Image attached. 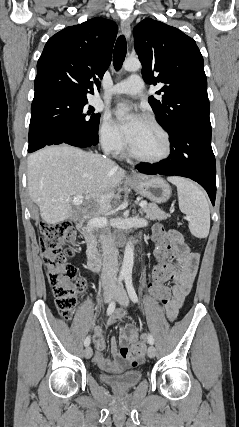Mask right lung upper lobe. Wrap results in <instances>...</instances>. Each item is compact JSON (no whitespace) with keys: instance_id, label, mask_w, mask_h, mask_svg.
<instances>
[{"instance_id":"obj_1","label":"right lung upper lobe","mask_w":239,"mask_h":427,"mask_svg":"<svg viewBox=\"0 0 239 427\" xmlns=\"http://www.w3.org/2000/svg\"><path fill=\"white\" fill-rule=\"evenodd\" d=\"M117 33L115 22L95 17L53 35L37 62L34 99L94 94L110 65Z\"/></svg>"}]
</instances>
